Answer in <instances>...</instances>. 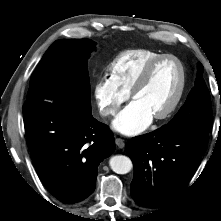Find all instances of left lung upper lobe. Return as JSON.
<instances>
[{
	"label": "left lung upper lobe",
	"instance_id": "obj_1",
	"mask_svg": "<svg viewBox=\"0 0 221 221\" xmlns=\"http://www.w3.org/2000/svg\"><path fill=\"white\" fill-rule=\"evenodd\" d=\"M203 66L199 65L196 85L190 92L185 104L164 129H194L210 132L212 108L208 89L202 78Z\"/></svg>",
	"mask_w": 221,
	"mask_h": 221
}]
</instances>
